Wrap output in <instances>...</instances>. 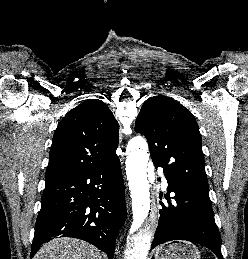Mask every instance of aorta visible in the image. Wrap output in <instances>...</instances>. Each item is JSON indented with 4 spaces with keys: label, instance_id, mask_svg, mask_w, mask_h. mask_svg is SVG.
I'll return each instance as SVG.
<instances>
[{
    "label": "aorta",
    "instance_id": "obj_1",
    "mask_svg": "<svg viewBox=\"0 0 248 259\" xmlns=\"http://www.w3.org/2000/svg\"><path fill=\"white\" fill-rule=\"evenodd\" d=\"M149 155L147 143L142 137L130 140L127 147L126 174L132 198L133 225L136 233L130 237L126 259H147L153 229L146 223L151 211V193L148 176Z\"/></svg>",
    "mask_w": 248,
    "mask_h": 259
}]
</instances>
